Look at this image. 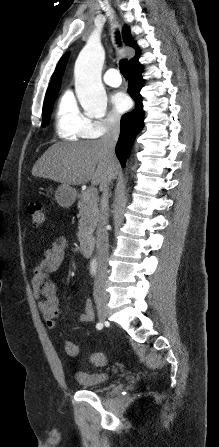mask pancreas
I'll list each match as a JSON object with an SVG mask.
<instances>
[{
  "instance_id": "pancreas-1",
  "label": "pancreas",
  "mask_w": 219,
  "mask_h": 447,
  "mask_svg": "<svg viewBox=\"0 0 219 447\" xmlns=\"http://www.w3.org/2000/svg\"><path fill=\"white\" fill-rule=\"evenodd\" d=\"M78 208L80 220L78 224L77 237L80 242H83L91 236L99 217L98 196H89L88 191H83L78 196Z\"/></svg>"
}]
</instances>
